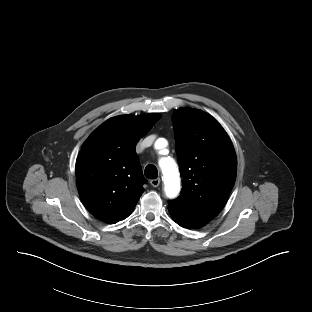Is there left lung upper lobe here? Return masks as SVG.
Segmentation results:
<instances>
[{"instance_id": "obj_1", "label": "left lung upper lobe", "mask_w": 312, "mask_h": 312, "mask_svg": "<svg viewBox=\"0 0 312 312\" xmlns=\"http://www.w3.org/2000/svg\"><path fill=\"white\" fill-rule=\"evenodd\" d=\"M172 123L183 187L168 210L206 224L222 210L234 186L233 144L216 119L202 110H175Z\"/></svg>"}]
</instances>
